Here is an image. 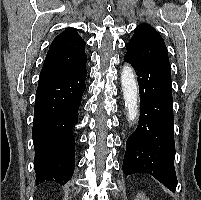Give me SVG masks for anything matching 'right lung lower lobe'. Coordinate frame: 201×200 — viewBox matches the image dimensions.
I'll return each mask as SVG.
<instances>
[{
	"label": "right lung lower lobe",
	"instance_id": "1",
	"mask_svg": "<svg viewBox=\"0 0 201 200\" xmlns=\"http://www.w3.org/2000/svg\"><path fill=\"white\" fill-rule=\"evenodd\" d=\"M85 65L57 81L38 84L32 138L36 185L67 183L74 172L75 144L72 129L85 91Z\"/></svg>",
	"mask_w": 201,
	"mask_h": 200
}]
</instances>
